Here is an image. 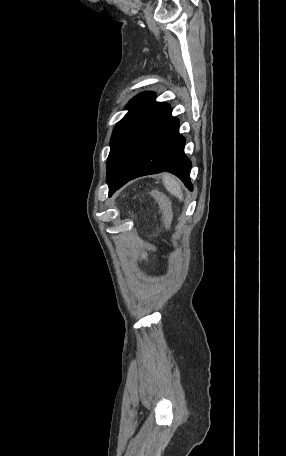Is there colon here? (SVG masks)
<instances>
[{
	"mask_svg": "<svg viewBox=\"0 0 286 456\" xmlns=\"http://www.w3.org/2000/svg\"><path fill=\"white\" fill-rule=\"evenodd\" d=\"M155 196L156 198L158 199L162 209L164 210L165 214L166 215H169V212H170V204H169V201L167 198H165L164 196H162L161 194L159 193H155Z\"/></svg>",
	"mask_w": 286,
	"mask_h": 456,
	"instance_id": "5ec220e1",
	"label": "colon"
}]
</instances>
